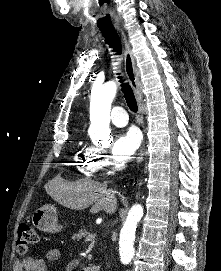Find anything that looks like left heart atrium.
<instances>
[{"instance_id":"left-heart-atrium-1","label":"left heart atrium","mask_w":221,"mask_h":271,"mask_svg":"<svg viewBox=\"0 0 221 271\" xmlns=\"http://www.w3.org/2000/svg\"><path fill=\"white\" fill-rule=\"evenodd\" d=\"M141 141V133L137 129H129L120 134L118 142H112L113 157H132Z\"/></svg>"}]
</instances>
